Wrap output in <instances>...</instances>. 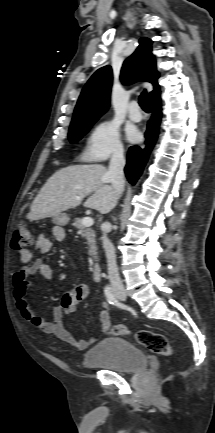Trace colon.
<instances>
[{
    "instance_id": "1",
    "label": "colon",
    "mask_w": 215,
    "mask_h": 433,
    "mask_svg": "<svg viewBox=\"0 0 215 433\" xmlns=\"http://www.w3.org/2000/svg\"><path fill=\"white\" fill-rule=\"evenodd\" d=\"M33 243V234L29 226L25 222H18L15 225L12 246L14 249H22ZM110 333L115 336L129 335L130 330L122 324L114 325ZM136 341L148 349L150 352L163 355L172 356L174 354V347L168 342L165 335L148 330H140L135 333Z\"/></svg>"
}]
</instances>
